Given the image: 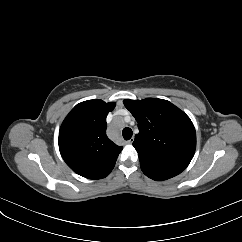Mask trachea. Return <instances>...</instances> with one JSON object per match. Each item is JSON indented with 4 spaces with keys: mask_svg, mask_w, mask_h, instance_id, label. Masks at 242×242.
Here are the masks:
<instances>
[{
    "mask_svg": "<svg viewBox=\"0 0 242 242\" xmlns=\"http://www.w3.org/2000/svg\"><path fill=\"white\" fill-rule=\"evenodd\" d=\"M132 134V130L128 127L124 128L122 131V135L125 140H129L132 137Z\"/></svg>",
    "mask_w": 242,
    "mask_h": 242,
    "instance_id": "1",
    "label": "trachea"
}]
</instances>
